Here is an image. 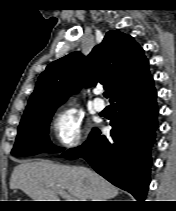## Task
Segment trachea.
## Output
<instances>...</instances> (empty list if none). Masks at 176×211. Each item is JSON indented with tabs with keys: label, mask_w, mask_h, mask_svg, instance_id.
I'll list each match as a JSON object with an SVG mask.
<instances>
[{
	"label": "trachea",
	"mask_w": 176,
	"mask_h": 211,
	"mask_svg": "<svg viewBox=\"0 0 176 211\" xmlns=\"http://www.w3.org/2000/svg\"><path fill=\"white\" fill-rule=\"evenodd\" d=\"M104 97H106V98H108V96H109V93L108 92H104Z\"/></svg>",
	"instance_id": "1"
}]
</instances>
